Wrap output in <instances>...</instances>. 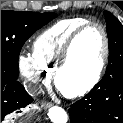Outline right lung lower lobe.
<instances>
[{"label":"right lung lower lobe","mask_w":123,"mask_h":123,"mask_svg":"<svg viewBox=\"0 0 123 123\" xmlns=\"http://www.w3.org/2000/svg\"><path fill=\"white\" fill-rule=\"evenodd\" d=\"M32 101L33 98L18 81L1 80V122L9 114L21 112V108Z\"/></svg>","instance_id":"1"}]
</instances>
